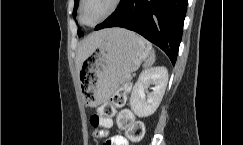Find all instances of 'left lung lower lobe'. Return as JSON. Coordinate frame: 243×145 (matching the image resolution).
Masks as SVG:
<instances>
[{"instance_id": "1", "label": "left lung lower lobe", "mask_w": 243, "mask_h": 145, "mask_svg": "<svg viewBox=\"0 0 243 145\" xmlns=\"http://www.w3.org/2000/svg\"><path fill=\"white\" fill-rule=\"evenodd\" d=\"M188 0H123L95 30L122 27L160 47L176 62Z\"/></svg>"}]
</instances>
